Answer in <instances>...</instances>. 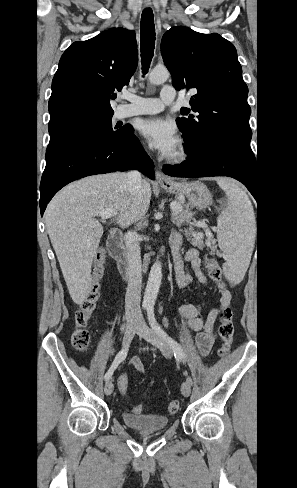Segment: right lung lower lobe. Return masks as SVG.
Wrapping results in <instances>:
<instances>
[{
    "mask_svg": "<svg viewBox=\"0 0 297 488\" xmlns=\"http://www.w3.org/2000/svg\"><path fill=\"white\" fill-rule=\"evenodd\" d=\"M138 169L154 179L152 161L134 132L126 136L71 146L46 161L40 183V212L66 184L95 174Z\"/></svg>",
    "mask_w": 297,
    "mask_h": 488,
    "instance_id": "obj_1",
    "label": "right lung lower lobe"
}]
</instances>
